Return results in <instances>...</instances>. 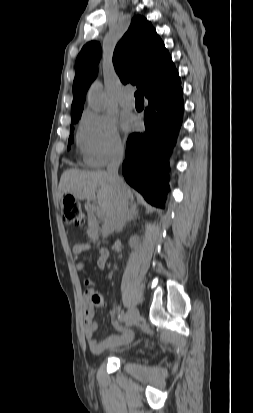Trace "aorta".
<instances>
[{"instance_id":"aorta-1","label":"aorta","mask_w":253,"mask_h":413,"mask_svg":"<svg viewBox=\"0 0 253 413\" xmlns=\"http://www.w3.org/2000/svg\"><path fill=\"white\" fill-rule=\"evenodd\" d=\"M104 96L103 86L99 82H96L88 94L89 107L96 112L102 111L104 109Z\"/></svg>"}]
</instances>
